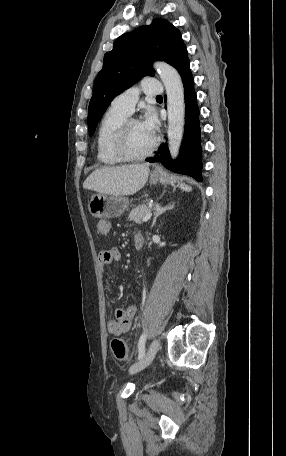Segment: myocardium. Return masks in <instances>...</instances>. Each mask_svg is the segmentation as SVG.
<instances>
[{
	"label": "myocardium",
	"instance_id": "f54148a6",
	"mask_svg": "<svg viewBox=\"0 0 286 456\" xmlns=\"http://www.w3.org/2000/svg\"><path fill=\"white\" fill-rule=\"evenodd\" d=\"M139 120L135 118H126L119 126L114 138V151L122 161H142L153 154L157 147V140L154 138L150 148L141 155H131L127 151V134L132 123H137Z\"/></svg>",
	"mask_w": 286,
	"mask_h": 456
}]
</instances>
